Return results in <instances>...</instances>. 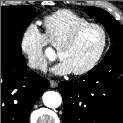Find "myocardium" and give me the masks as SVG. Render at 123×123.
Wrapping results in <instances>:
<instances>
[{"label":"myocardium","mask_w":123,"mask_h":123,"mask_svg":"<svg viewBox=\"0 0 123 123\" xmlns=\"http://www.w3.org/2000/svg\"><path fill=\"white\" fill-rule=\"evenodd\" d=\"M90 28H97L98 30H100L101 34H102V45H101V48L98 52V54L96 55V57L92 60V62L90 64H88L86 67L82 68V69H79V70H76V71H73V74L75 75H84V74H87L89 73L90 71H92L99 63L100 61L102 60L105 52H106V49H107V46H108V40H109V37H108V32L106 30V28L99 24V23H88V24H85L79 28H77L58 48V56L60 55V53L63 51V50H66V49H69L71 48L75 43L76 41L79 39V37L85 32L87 31L88 29Z\"/></svg>","instance_id":"obj_1"}]
</instances>
